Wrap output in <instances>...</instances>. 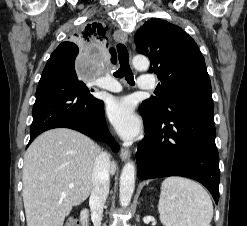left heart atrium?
<instances>
[{
  "label": "left heart atrium",
  "instance_id": "left-heart-atrium-1",
  "mask_svg": "<svg viewBox=\"0 0 247 226\" xmlns=\"http://www.w3.org/2000/svg\"><path fill=\"white\" fill-rule=\"evenodd\" d=\"M107 115L122 138L131 140L140 133L141 122L129 97L111 99L107 104Z\"/></svg>",
  "mask_w": 247,
  "mask_h": 226
}]
</instances>
